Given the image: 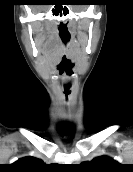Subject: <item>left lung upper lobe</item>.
I'll return each mask as SVG.
<instances>
[{"label": "left lung upper lobe", "mask_w": 133, "mask_h": 172, "mask_svg": "<svg viewBox=\"0 0 133 172\" xmlns=\"http://www.w3.org/2000/svg\"><path fill=\"white\" fill-rule=\"evenodd\" d=\"M91 172H110L116 169L119 163L107 156H100L94 158L91 162H84Z\"/></svg>", "instance_id": "5c2ea615"}]
</instances>
